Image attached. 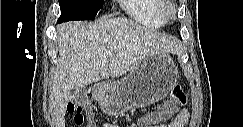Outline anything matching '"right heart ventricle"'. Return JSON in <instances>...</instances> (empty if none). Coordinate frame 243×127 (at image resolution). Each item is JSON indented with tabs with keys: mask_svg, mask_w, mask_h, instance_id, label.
<instances>
[{
	"mask_svg": "<svg viewBox=\"0 0 243 127\" xmlns=\"http://www.w3.org/2000/svg\"><path fill=\"white\" fill-rule=\"evenodd\" d=\"M164 5V0L122 1L123 11L134 23L151 29H158L164 26L165 20L162 16Z\"/></svg>",
	"mask_w": 243,
	"mask_h": 127,
	"instance_id": "right-heart-ventricle-1",
	"label": "right heart ventricle"
}]
</instances>
